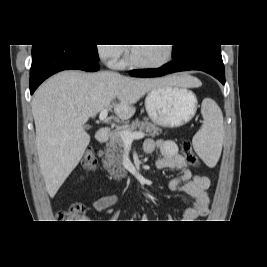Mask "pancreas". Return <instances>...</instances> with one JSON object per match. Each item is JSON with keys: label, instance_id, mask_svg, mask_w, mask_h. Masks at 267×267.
I'll list each match as a JSON object with an SVG mask.
<instances>
[{"label": "pancreas", "instance_id": "cf45deb5", "mask_svg": "<svg viewBox=\"0 0 267 267\" xmlns=\"http://www.w3.org/2000/svg\"><path fill=\"white\" fill-rule=\"evenodd\" d=\"M137 129L145 130L147 136L155 137L161 132V129L156 127L155 124L149 123L147 120L140 122L139 120L133 121L130 125L124 126L123 130L134 132ZM124 148V141L122 140L119 131L113 132L109 142L106 144L105 159L103 166L110 175L115 177L123 176L125 172L122 164V154Z\"/></svg>", "mask_w": 267, "mask_h": 267}]
</instances>
